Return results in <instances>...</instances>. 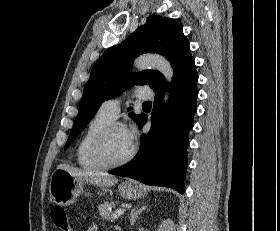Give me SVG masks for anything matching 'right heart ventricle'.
<instances>
[{"label": "right heart ventricle", "mask_w": 280, "mask_h": 231, "mask_svg": "<svg viewBox=\"0 0 280 231\" xmlns=\"http://www.w3.org/2000/svg\"><path fill=\"white\" fill-rule=\"evenodd\" d=\"M113 119L97 113L87 124L84 132L75 145V161L84 171H96L104 167L91 157V145L98 133Z\"/></svg>", "instance_id": "obj_1"}]
</instances>
